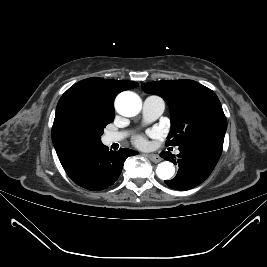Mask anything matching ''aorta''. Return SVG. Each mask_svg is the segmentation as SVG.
I'll use <instances>...</instances> for the list:
<instances>
[{"label": "aorta", "instance_id": "obj_1", "mask_svg": "<svg viewBox=\"0 0 267 267\" xmlns=\"http://www.w3.org/2000/svg\"><path fill=\"white\" fill-rule=\"evenodd\" d=\"M115 106L119 114L126 117H133L140 112L142 101L137 94L126 91L117 96ZM174 173L175 167L169 161L159 163L156 168V174L162 180H169L173 177Z\"/></svg>", "mask_w": 267, "mask_h": 267}]
</instances>
